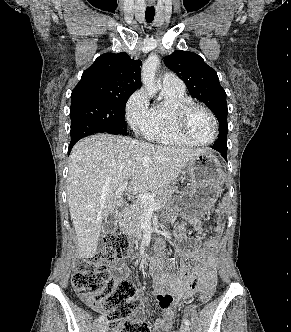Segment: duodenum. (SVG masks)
Here are the masks:
<instances>
[{
	"mask_svg": "<svg viewBox=\"0 0 291 332\" xmlns=\"http://www.w3.org/2000/svg\"><path fill=\"white\" fill-rule=\"evenodd\" d=\"M149 253H150L149 251H143V252L140 253V255H147Z\"/></svg>",
	"mask_w": 291,
	"mask_h": 332,
	"instance_id": "1",
	"label": "duodenum"
}]
</instances>
